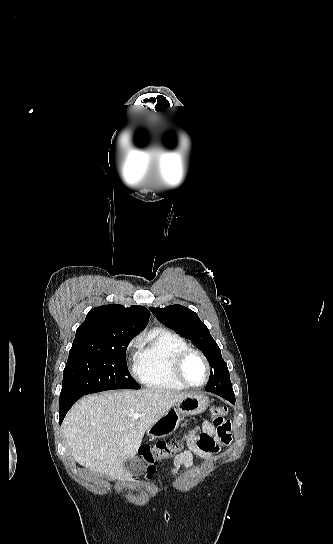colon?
<instances>
[{
  "label": "colon",
  "instance_id": "5ec220e1",
  "mask_svg": "<svg viewBox=\"0 0 333 544\" xmlns=\"http://www.w3.org/2000/svg\"><path fill=\"white\" fill-rule=\"evenodd\" d=\"M227 413L228 408L226 406H216L210 410L211 416L215 419L222 418ZM181 447L182 442L177 439L159 441L153 446H141L138 453L146 465V477L149 479L152 476L158 461L174 456Z\"/></svg>",
  "mask_w": 333,
  "mask_h": 544
}]
</instances>
